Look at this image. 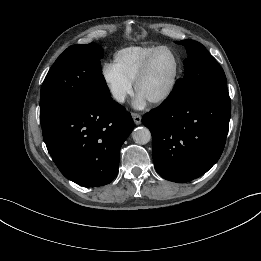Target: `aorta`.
<instances>
[{
	"mask_svg": "<svg viewBox=\"0 0 261 261\" xmlns=\"http://www.w3.org/2000/svg\"><path fill=\"white\" fill-rule=\"evenodd\" d=\"M132 138L137 144H147L151 140L150 130L146 127H137L132 132Z\"/></svg>",
	"mask_w": 261,
	"mask_h": 261,
	"instance_id": "762f6f07",
	"label": "aorta"
}]
</instances>
